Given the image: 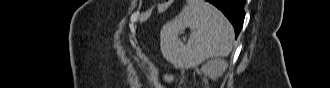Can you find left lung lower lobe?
Returning a JSON list of instances; mask_svg holds the SVG:
<instances>
[{
  "label": "left lung lower lobe",
  "instance_id": "0a47b994",
  "mask_svg": "<svg viewBox=\"0 0 330 88\" xmlns=\"http://www.w3.org/2000/svg\"><path fill=\"white\" fill-rule=\"evenodd\" d=\"M220 9L232 23L235 38L241 31L245 17L244 5L246 0H206Z\"/></svg>",
  "mask_w": 330,
  "mask_h": 88
}]
</instances>
